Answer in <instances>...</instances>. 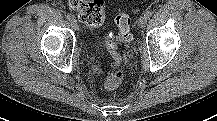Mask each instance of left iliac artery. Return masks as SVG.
I'll return each instance as SVG.
<instances>
[{
	"label": "left iliac artery",
	"mask_w": 217,
	"mask_h": 121,
	"mask_svg": "<svg viewBox=\"0 0 217 121\" xmlns=\"http://www.w3.org/2000/svg\"><path fill=\"white\" fill-rule=\"evenodd\" d=\"M152 14H153V13H152L151 11H146L144 15H145L147 18H150V17L152 16Z\"/></svg>",
	"instance_id": "44dca946"
}]
</instances>
